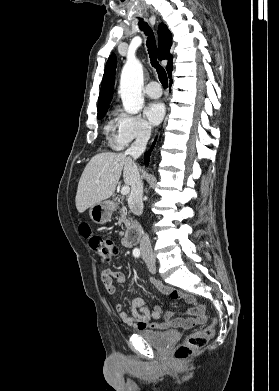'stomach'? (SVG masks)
I'll list each match as a JSON object with an SVG mask.
<instances>
[{
    "label": "stomach",
    "instance_id": "stomach-1",
    "mask_svg": "<svg viewBox=\"0 0 279 391\" xmlns=\"http://www.w3.org/2000/svg\"><path fill=\"white\" fill-rule=\"evenodd\" d=\"M89 215L93 222L104 224L108 222L112 216V207L108 202H101L91 206Z\"/></svg>",
    "mask_w": 279,
    "mask_h": 391
}]
</instances>
